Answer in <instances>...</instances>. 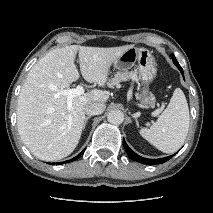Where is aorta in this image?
Wrapping results in <instances>:
<instances>
[{
  "label": "aorta",
  "mask_w": 213,
  "mask_h": 213,
  "mask_svg": "<svg viewBox=\"0 0 213 213\" xmlns=\"http://www.w3.org/2000/svg\"><path fill=\"white\" fill-rule=\"evenodd\" d=\"M109 123L114 125H120L124 121V114L120 110H112L107 115Z\"/></svg>",
  "instance_id": "aorta-1"
}]
</instances>
